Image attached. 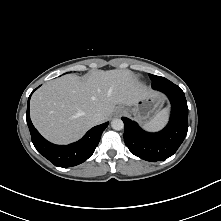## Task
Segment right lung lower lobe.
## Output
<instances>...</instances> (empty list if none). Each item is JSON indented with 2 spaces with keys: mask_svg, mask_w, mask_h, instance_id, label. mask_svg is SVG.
Masks as SVG:
<instances>
[{
  "mask_svg": "<svg viewBox=\"0 0 221 221\" xmlns=\"http://www.w3.org/2000/svg\"><path fill=\"white\" fill-rule=\"evenodd\" d=\"M27 103L26 119L30 130L32 142L37 151L55 166L73 167L86 161L95 151L102 132L108 122L90 129L79 141L69 145H55L45 140L34 128L29 115V101Z\"/></svg>",
  "mask_w": 221,
  "mask_h": 221,
  "instance_id": "1",
  "label": "right lung lower lobe"
}]
</instances>
